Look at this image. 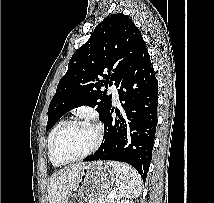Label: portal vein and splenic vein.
I'll use <instances>...</instances> for the list:
<instances>
[{
    "label": "portal vein and splenic vein",
    "mask_w": 214,
    "mask_h": 203,
    "mask_svg": "<svg viewBox=\"0 0 214 203\" xmlns=\"http://www.w3.org/2000/svg\"><path fill=\"white\" fill-rule=\"evenodd\" d=\"M115 196H116V193H115L114 191L110 192V194L108 195V197H109L110 199H114Z\"/></svg>",
    "instance_id": "obj_1"
}]
</instances>
